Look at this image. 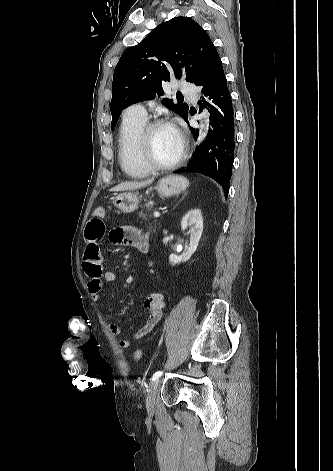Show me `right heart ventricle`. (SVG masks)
I'll return each instance as SVG.
<instances>
[{
	"label": "right heart ventricle",
	"mask_w": 333,
	"mask_h": 471,
	"mask_svg": "<svg viewBox=\"0 0 333 471\" xmlns=\"http://www.w3.org/2000/svg\"><path fill=\"white\" fill-rule=\"evenodd\" d=\"M147 120L125 115L118 132V160L123 172L135 179L150 175L153 170L140 156L138 140Z\"/></svg>",
	"instance_id": "e07e8e85"
}]
</instances>
